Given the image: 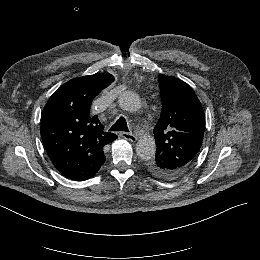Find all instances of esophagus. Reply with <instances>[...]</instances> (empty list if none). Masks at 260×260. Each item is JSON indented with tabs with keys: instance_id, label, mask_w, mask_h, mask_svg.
<instances>
[{
	"instance_id": "1",
	"label": "esophagus",
	"mask_w": 260,
	"mask_h": 260,
	"mask_svg": "<svg viewBox=\"0 0 260 260\" xmlns=\"http://www.w3.org/2000/svg\"><path fill=\"white\" fill-rule=\"evenodd\" d=\"M121 136L131 142H136L137 141V137L135 135H133L132 133H127V132H122Z\"/></svg>"
}]
</instances>
